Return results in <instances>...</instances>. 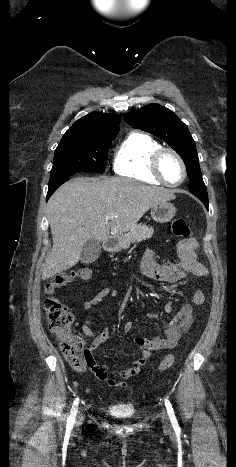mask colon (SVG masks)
I'll return each mask as SVG.
<instances>
[{
  "mask_svg": "<svg viewBox=\"0 0 236 467\" xmlns=\"http://www.w3.org/2000/svg\"><path fill=\"white\" fill-rule=\"evenodd\" d=\"M173 233L183 239H189L191 230L183 218L172 221ZM92 269L80 267L75 270L64 271L54 275L45 286L46 298L44 308L49 330L60 342V350L70 366L81 371L92 363V355L87 349L83 338L72 331L74 316L67 306L56 296L58 290L75 280H88L92 277ZM174 356L167 355L159 364L157 370L164 372L174 363Z\"/></svg>",
  "mask_w": 236,
  "mask_h": 467,
  "instance_id": "obj_1",
  "label": "colon"
}]
</instances>
